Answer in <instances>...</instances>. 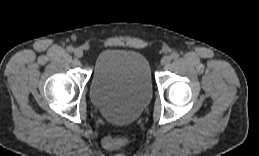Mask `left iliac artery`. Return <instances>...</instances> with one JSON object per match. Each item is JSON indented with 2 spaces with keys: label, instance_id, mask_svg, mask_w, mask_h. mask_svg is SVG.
<instances>
[{
  "label": "left iliac artery",
  "instance_id": "44dca946",
  "mask_svg": "<svg viewBox=\"0 0 259 156\" xmlns=\"http://www.w3.org/2000/svg\"><path fill=\"white\" fill-rule=\"evenodd\" d=\"M171 58L176 60V59L179 58V54L178 53H172Z\"/></svg>",
  "mask_w": 259,
  "mask_h": 156
}]
</instances>
